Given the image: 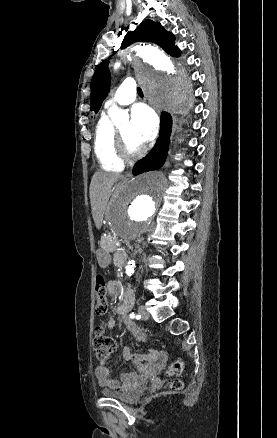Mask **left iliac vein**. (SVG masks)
Masks as SVG:
<instances>
[{
  "label": "left iliac vein",
  "mask_w": 277,
  "mask_h": 438,
  "mask_svg": "<svg viewBox=\"0 0 277 438\" xmlns=\"http://www.w3.org/2000/svg\"><path fill=\"white\" fill-rule=\"evenodd\" d=\"M138 313H139V315H140V317L143 319V320H147L148 318H149V313L147 312V310L145 309V307L144 306H139V308H138Z\"/></svg>",
  "instance_id": "left-iliac-vein-1"
}]
</instances>
